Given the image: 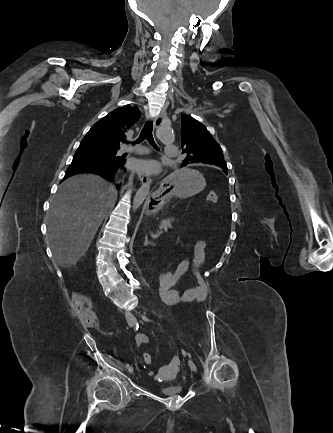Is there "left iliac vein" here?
I'll return each instance as SVG.
<instances>
[{
	"label": "left iliac vein",
	"instance_id": "4c4485c4",
	"mask_svg": "<svg viewBox=\"0 0 333 433\" xmlns=\"http://www.w3.org/2000/svg\"><path fill=\"white\" fill-rule=\"evenodd\" d=\"M188 365L191 368V370H193L195 372L197 371V367L192 360H188Z\"/></svg>",
	"mask_w": 333,
	"mask_h": 433
}]
</instances>
